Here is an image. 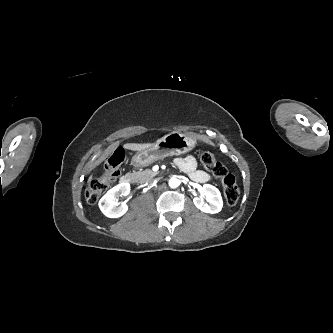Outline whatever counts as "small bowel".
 I'll return each instance as SVG.
<instances>
[{
	"label": "small bowel",
	"instance_id": "c3829d8e",
	"mask_svg": "<svg viewBox=\"0 0 333 333\" xmlns=\"http://www.w3.org/2000/svg\"><path fill=\"white\" fill-rule=\"evenodd\" d=\"M175 164L180 170L188 173L196 182L205 183L211 180V176L208 173L197 169V162L192 155L176 158Z\"/></svg>",
	"mask_w": 333,
	"mask_h": 333
}]
</instances>
